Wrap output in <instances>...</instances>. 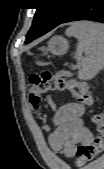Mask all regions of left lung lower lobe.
Returning <instances> with one entry per match:
<instances>
[{
	"mask_svg": "<svg viewBox=\"0 0 104 169\" xmlns=\"http://www.w3.org/2000/svg\"><path fill=\"white\" fill-rule=\"evenodd\" d=\"M79 20H90L104 23V9L102 5L94 0H78L75 9L60 23H67ZM49 31H41L31 35L25 43L46 34Z\"/></svg>",
	"mask_w": 104,
	"mask_h": 169,
	"instance_id": "0a47b994",
	"label": "left lung lower lobe"
}]
</instances>
